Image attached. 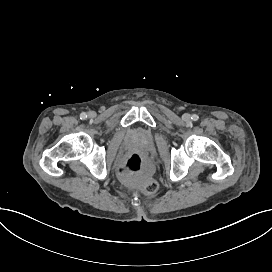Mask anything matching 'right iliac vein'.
<instances>
[{
	"label": "right iliac vein",
	"mask_w": 272,
	"mask_h": 272,
	"mask_svg": "<svg viewBox=\"0 0 272 272\" xmlns=\"http://www.w3.org/2000/svg\"><path fill=\"white\" fill-rule=\"evenodd\" d=\"M89 115H93V112H90Z\"/></svg>",
	"instance_id": "obj_1"
}]
</instances>
